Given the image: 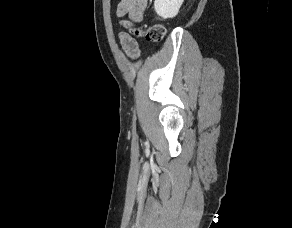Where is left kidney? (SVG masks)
<instances>
[{
  "label": "left kidney",
  "instance_id": "1",
  "mask_svg": "<svg viewBox=\"0 0 292 228\" xmlns=\"http://www.w3.org/2000/svg\"><path fill=\"white\" fill-rule=\"evenodd\" d=\"M184 0H155L154 9L163 19L175 17Z\"/></svg>",
  "mask_w": 292,
  "mask_h": 228
}]
</instances>
